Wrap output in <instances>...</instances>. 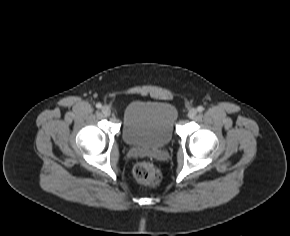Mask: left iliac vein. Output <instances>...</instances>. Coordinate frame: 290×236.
Wrapping results in <instances>:
<instances>
[{
    "instance_id": "left-iliac-vein-1",
    "label": "left iliac vein",
    "mask_w": 290,
    "mask_h": 236,
    "mask_svg": "<svg viewBox=\"0 0 290 236\" xmlns=\"http://www.w3.org/2000/svg\"><path fill=\"white\" fill-rule=\"evenodd\" d=\"M197 115V109L191 108L188 112V117L193 119Z\"/></svg>"
}]
</instances>
